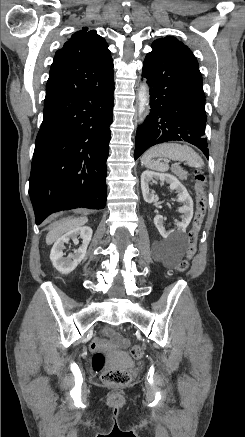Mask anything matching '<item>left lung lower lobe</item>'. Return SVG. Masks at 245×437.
Segmentation results:
<instances>
[{"label":"left lung lower lobe","instance_id":"1","mask_svg":"<svg viewBox=\"0 0 245 437\" xmlns=\"http://www.w3.org/2000/svg\"><path fill=\"white\" fill-rule=\"evenodd\" d=\"M142 76L150 87V114L138 127L134 159L167 141H186L209 152L204 137L205 95L198 64L165 47H152Z\"/></svg>","mask_w":245,"mask_h":437}]
</instances>
